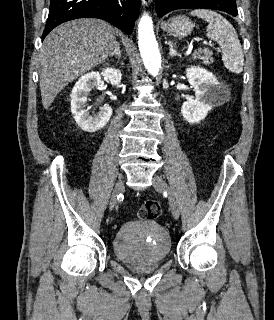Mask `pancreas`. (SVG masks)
Instances as JSON below:
<instances>
[{"instance_id":"1","label":"pancreas","mask_w":274,"mask_h":320,"mask_svg":"<svg viewBox=\"0 0 274 320\" xmlns=\"http://www.w3.org/2000/svg\"><path fill=\"white\" fill-rule=\"evenodd\" d=\"M213 52H209V50H200V52H195L193 54V60H202L203 64H212L214 62V58H212Z\"/></svg>"}]
</instances>
